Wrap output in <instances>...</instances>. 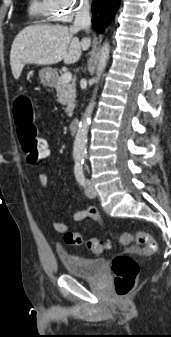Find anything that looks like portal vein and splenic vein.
I'll list each match as a JSON object with an SVG mask.
<instances>
[{
  "label": "portal vein and splenic vein",
  "mask_w": 171,
  "mask_h": 337,
  "mask_svg": "<svg viewBox=\"0 0 171 337\" xmlns=\"http://www.w3.org/2000/svg\"><path fill=\"white\" fill-rule=\"evenodd\" d=\"M63 82L69 83L72 79V74L70 72H66L62 76Z\"/></svg>",
  "instance_id": "portal-vein-and-splenic-vein-1"
}]
</instances>
